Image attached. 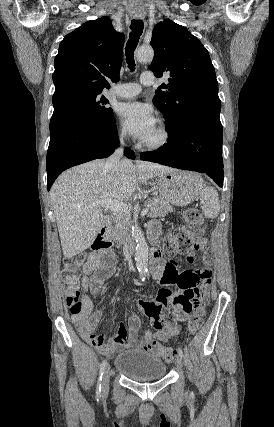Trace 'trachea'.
Instances as JSON below:
<instances>
[{
  "label": "trachea",
  "mask_w": 274,
  "mask_h": 427,
  "mask_svg": "<svg viewBox=\"0 0 274 427\" xmlns=\"http://www.w3.org/2000/svg\"><path fill=\"white\" fill-rule=\"evenodd\" d=\"M131 33L129 34V40L126 43L125 53H126V62L129 69L133 72L135 70V61H134V51L138 45L140 36L143 33V21L142 20H132Z\"/></svg>",
  "instance_id": "obj_1"
}]
</instances>
